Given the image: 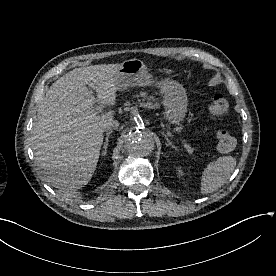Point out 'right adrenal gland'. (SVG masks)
<instances>
[{"instance_id": "1", "label": "right adrenal gland", "mask_w": 276, "mask_h": 276, "mask_svg": "<svg viewBox=\"0 0 276 276\" xmlns=\"http://www.w3.org/2000/svg\"><path fill=\"white\" fill-rule=\"evenodd\" d=\"M110 134H111V132L106 133L105 141L103 143V147L102 148L104 150L102 151V155H104V156L106 155V152H107Z\"/></svg>"}]
</instances>
